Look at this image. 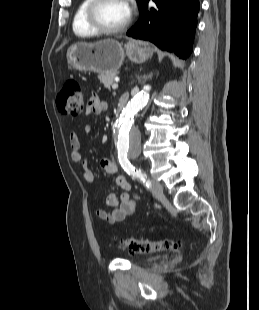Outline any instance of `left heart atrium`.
<instances>
[{"mask_svg":"<svg viewBox=\"0 0 259 310\" xmlns=\"http://www.w3.org/2000/svg\"><path fill=\"white\" fill-rule=\"evenodd\" d=\"M123 2H124V5L126 7V11H127L128 17H129L132 13V4L128 0H124Z\"/></svg>","mask_w":259,"mask_h":310,"instance_id":"1","label":"left heart atrium"}]
</instances>
